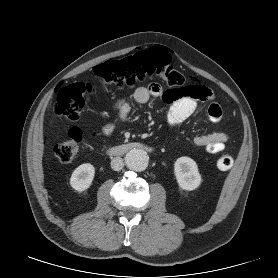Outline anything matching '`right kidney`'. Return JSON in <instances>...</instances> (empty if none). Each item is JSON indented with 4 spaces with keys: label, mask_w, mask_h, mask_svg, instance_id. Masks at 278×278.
Here are the masks:
<instances>
[{
    "label": "right kidney",
    "mask_w": 278,
    "mask_h": 278,
    "mask_svg": "<svg viewBox=\"0 0 278 278\" xmlns=\"http://www.w3.org/2000/svg\"><path fill=\"white\" fill-rule=\"evenodd\" d=\"M95 168L90 163L78 166L72 173L70 185L78 192L88 189L93 181Z\"/></svg>",
    "instance_id": "ca27d5eb"
}]
</instances>
